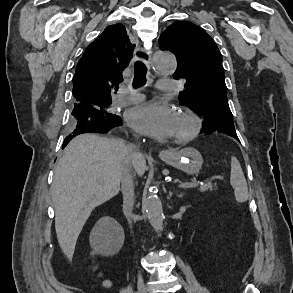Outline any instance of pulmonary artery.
Wrapping results in <instances>:
<instances>
[{
	"label": "pulmonary artery",
	"mask_w": 293,
	"mask_h": 293,
	"mask_svg": "<svg viewBox=\"0 0 293 293\" xmlns=\"http://www.w3.org/2000/svg\"><path fill=\"white\" fill-rule=\"evenodd\" d=\"M157 88L161 92H169L175 89V83L169 79H161L157 82ZM144 96L126 87L119 90L118 103L122 105L136 103L143 100Z\"/></svg>",
	"instance_id": "obj_1"
}]
</instances>
